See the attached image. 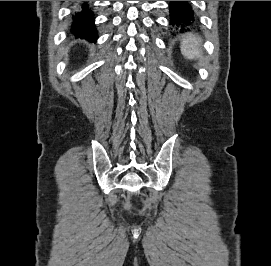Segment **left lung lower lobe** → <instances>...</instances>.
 Segmentation results:
<instances>
[{
    "instance_id": "left-lung-lower-lobe-1",
    "label": "left lung lower lobe",
    "mask_w": 271,
    "mask_h": 266,
    "mask_svg": "<svg viewBox=\"0 0 271 266\" xmlns=\"http://www.w3.org/2000/svg\"><path fill=\"white\" fill-rule=\"evenodd\" d=\"M171 29L189 30L198 25V18L189 1H170L169 3Z\"/></svg>"
}]
</instances>
